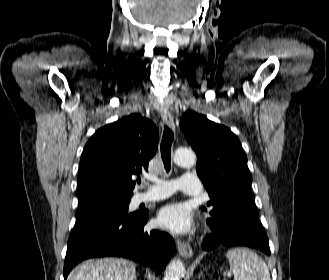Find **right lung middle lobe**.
Masks as SVG:
<instances>
[{
    "mask_svg": "<svg viewBox=\"0 0 329 280\" xmlns=\"http://www.w3.org/2000/svg\"><path fill=\"white\" fill-rule=\"evenodd\" d=\"M130 202V197H90L79 200V210L77 218L85 216L97 209L111 207L118 210H128V204ZM134 215L135 213H131Z\"/></svg>",
    "mask_w": 329,
    "mask_h": 280,
    "instance_id": "obj_1",
    "label": "right lung middle lobe"
}]
</instances>
